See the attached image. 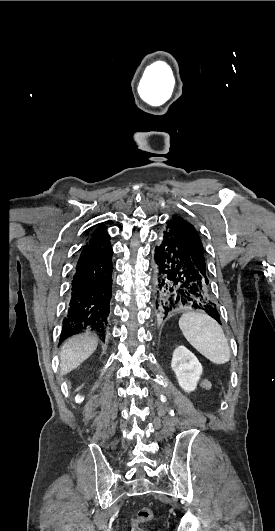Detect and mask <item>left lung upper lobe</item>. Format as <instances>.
Instances as JSON below:
<instances>
[{"mask_svg":"<svg viewBox=\"0 0 275 531\" xmlns=\"http://www.w3.org/2000/svg\"><path fill=\"white\" fill-rule=\"evenodd\" d=\"M169 224L178 232L187 246L191 257L203 275L204 278H207L206 275V264L204 258L203 245L200 240V237L192 224L187 220L179 217L173 216L172 220L169 221Z\"/></svg>","mask_w":275,"mask_h":531,"instance_id":"1","label":"left lung upper lobe"}]
</instances>
